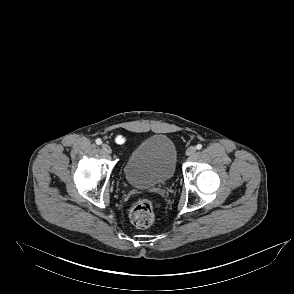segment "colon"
Segmentation results:
<instances>
[{"label":"colon","instance_id":"colon-1","mask_svg":"<svg viewBox=\"0 0 294 294\" xmlns=\"http://www.w3.org/2000/svg\"><path fill=\"white\" fill-rule=\"evenodd\" d=\"M129 218L137 228L149 227L155 218L153 204L149 199H139L130 209Z\"/></svg>","mask_w":294,"mask_h":294}]
</instances>
